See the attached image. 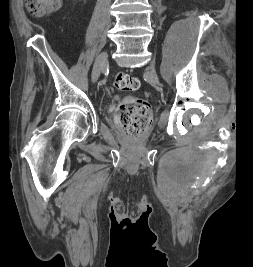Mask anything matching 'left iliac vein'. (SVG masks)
Instances as JSON below:
<instances>
[{"label": "left iliac vein", "mask_w": 253, "mask_h": 267, "mask_svg": "<svg viewBox=\"0 0 253 267\" xmlns=\"http://www.w3.org/2000/svg\"><path fill=\"white\" fill-rule=\"evenodd\" d=\"M150 72L152 73V77H151V84H156L157 83V79L155 77V75L153 74V66L150 65Z\"/></svg>", "instance_id": "obj_1"}]
</instances>
